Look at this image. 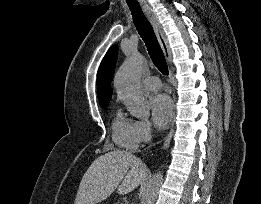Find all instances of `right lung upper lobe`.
<instances>
[{
  "label": "right lung upper lobe",
  "instance_id": "1",
  "mask_svg": "<svg viewBox=\"0 0 261 204\" xmlns=\"http://www.w3.org/2000/svg\"><path fill=\"white\" fill-rule=\"evenodd\" d=\"M118 58V45L112 46L104 56L97 74V97L99 103L109 102L112 96L110 87Z\"/></svg>",
  "mask_w": 261,
  "mask_h": 204
}]
</instances>
